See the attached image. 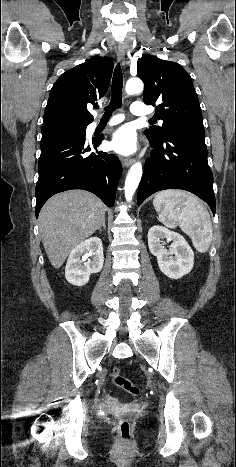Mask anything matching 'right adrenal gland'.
<instances>
[{"label": "right adrenal gland", "mask_w": 236, "mask_h": 467, "mask_svg": "<svg viewBox=\"0 0 236 467\" xmlns=\"http://www.w3.org/2000/svg\"><path fill=\"white\" fill-rule=\"evenodd\" d=\"M101 228H103L104 230L106 229L105 219L103 220L102 225L98 228L100 232H101Z\"/></svg>", "instance_id": "2a0ac1e0"}]
</instances>
